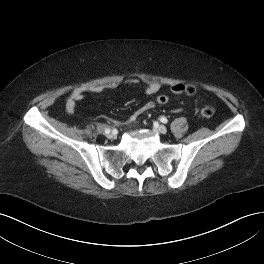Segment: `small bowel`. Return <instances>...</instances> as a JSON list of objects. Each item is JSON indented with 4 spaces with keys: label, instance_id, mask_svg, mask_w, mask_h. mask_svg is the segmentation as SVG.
Returning a JSON list of instances; mask_svg holds the SVG:
<instances>
[{
    "label": "small bowel",
    "instance_id": "c3829d8e",
    "mask_svg": "<svg viewBox=\"0 0 264 264\" xmlns=\"http://www.w3.org/2000/svg\"><path fill=\"white\" fill-rule=\"evenodd\" d=\"M127 84H136L138 83L137 79H130L126 81ZM119 83L118 82H109L103 85H98V86H81L75 88L69 98L67 99L66 102V112L67 114L71 115L74 113L77 104L83 100L84 95L86 93H100L105 90L109 89H114L118 87ZM184 84H174L171 86V92L174 94H182L184 92ZM161 89V84L159 82H150L146 84L144 91L147 95H153L156 94L160 91ZM155 106V103L153 101L147 102L144 104L141 108H139L134 115L132 116L131 120H134L136 117L139 115L143 114L144 112L152 109Z\"/></svg>",
    "mask_w": 264,
    "mask_h": 264
}]
</instances>
